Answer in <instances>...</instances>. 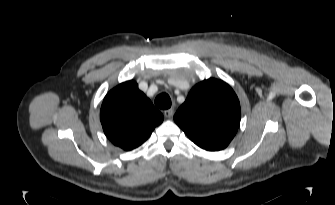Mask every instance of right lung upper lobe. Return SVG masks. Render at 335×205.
I'll return each instance as SVG.
<instances>
[{
    "label": "right lung upper lobe",
    "mask_w": 335,
    "mask_h": 205,
    "mask_svg": "<svg viewBox=\"0 0 335 205\" xmlns=\"http://www.w3.org/2000/svg\"><path fill=\"white\" fill-rule=\"evenodd\" d=\"M164 117L138 89L127 81L112 89L104 98L100 120L108 139L128 151L140 146Z\"/></svg>",
    "instance_id": "obj_1"
}]
</instances>
